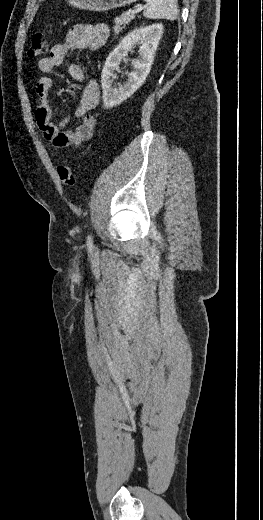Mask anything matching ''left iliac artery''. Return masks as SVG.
<instances>
[{
	"label": "left iliac artery",
	"mask_w": 263,
	"mask_h": 520,
	"mask_svg": "<svg viewBox=\"0 0 263 520\" xmlns=\"http://www.w3.org/2000/svg\"><path fill=\"white\" fill-rule=\"evenodd\" d=\"M87 246H88L89 248H91V247L93 246V240H92L91 235H89V236L87 237Z\"/></svg>",
	"instance_id": "left-iliac-artery-1"
}]
</instances>
